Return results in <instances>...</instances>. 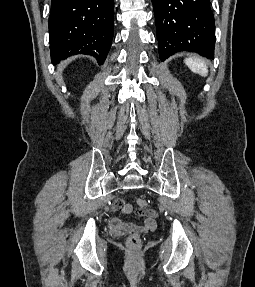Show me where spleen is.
<instances>
[{
  "label": "spleen",
  "mask_w": 255,
  "mask_h": 287,
  "mask_svg": "<svg viewBox=\"0 0 255 287\" xmlns=\"http://www.w3.org/2000/svg\"><path fill=\"white\" fill-rule=\"evenodd\" d=\"M186 66L192 70V72H195V74H200V76H208V68L202 60H199V58H186L184 60Z\"/></svg>",
  "instance_id": "obj_1"
}]
</instances>
